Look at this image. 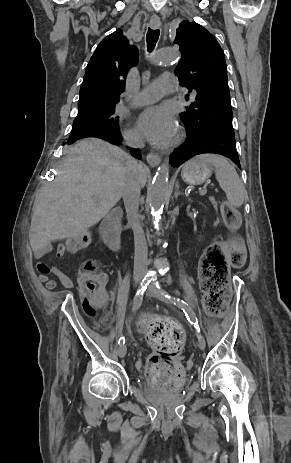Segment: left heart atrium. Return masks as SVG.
I'll return each mask as SVG.
<instances>
[{
  "instance_id": "1",
  "label": "left heart atrium",
  "mask_w": 291,
  "mask_h": 463,
  "mask_svg": "<svg viewBox=\"0 0 291 463\" xmlns=\"http://www.w3.org/2000/svg\"><path fill=\"white\" fill-rule=\"evenodd\" d=\"M137 125L140 133L154 144L167 143L175 132L173 119L162 106H152L142 111Z\"/></svg>"
}]
</instances>
